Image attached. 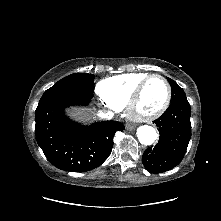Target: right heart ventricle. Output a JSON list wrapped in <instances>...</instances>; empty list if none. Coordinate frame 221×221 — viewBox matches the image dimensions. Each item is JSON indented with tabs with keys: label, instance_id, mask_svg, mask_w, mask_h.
Instances as JSON below:
<instances>
[{
	"label": "right heart ventricle",
	"instance_id": "1",
	"mask_svg": "<svg viewBox=\"0 0 221 221\" xmlns=\"http://www.w3.org/2000/svg\"><path fill=\"white\" fill-rule=\"evenodd\" d=\"M148 76L147 73H127L100 81L97 91L104 102L113 109L125 108L136 87Z\"/></svg>",
	"mask_w": 221,
	"mask_h": 221
}]
</instances>
